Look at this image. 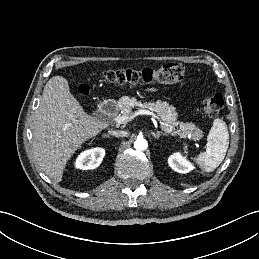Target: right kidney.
<instances>
[{
    "mask_svg": "<svg viewBox=\"0 0 259 259\" xmlns=\"http://www.w3.org/2000/svg\"><path fill=\"white\" fill-rule=\"evenodd\" d=\"M105 156L103 148L88 149L80 153L75 161V167L81 170L97 168Z\"/></svg>",
    "mask_w": 259,
    "mask_h": 259,
    "instance_id": "1",
    "label": "right kidney"
}]
</instances>
